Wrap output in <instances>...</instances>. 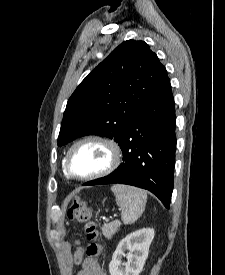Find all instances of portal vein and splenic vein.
<instances>
[{"instance_id":"obj_1","label":"portal vein and splenic vein","mask_w":225,"mask_h":275,"mask_svg":"<svg viewBox=\"0 0 225 275\" xmlns=\"http://www.w3.org/2000/svg\"><path fill=\"white\" fill-rule=\"evenodd\" d=\"M117 216H118V215H116V214L114 215V217H117Z\"/></svg>"}]
</instances>
